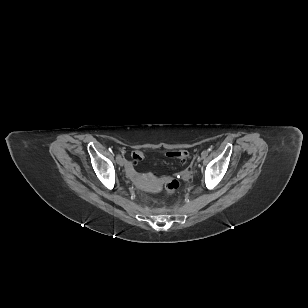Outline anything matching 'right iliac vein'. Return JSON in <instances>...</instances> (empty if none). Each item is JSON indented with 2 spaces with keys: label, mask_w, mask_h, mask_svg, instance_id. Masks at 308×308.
Here are the masks:
<instances>
[{
  "label": "right iliac vein",
  "mask_w": 308,
  "mask_h": 308,
  "mask_svg": "<svg viewBox=\"0 0 308 308\" xmlns=\"http://www.w3.org/2000/svg\"><path fill=\"white\" fill-rule=\"evenodd\" d=\"M117 162H118V164H119L120 166H124L125 163H126V160H125L124 158L120 157V159H119Z\"/></svg>",
  "instance_id": "right-iliac-vein-1"
}]
</instances>
